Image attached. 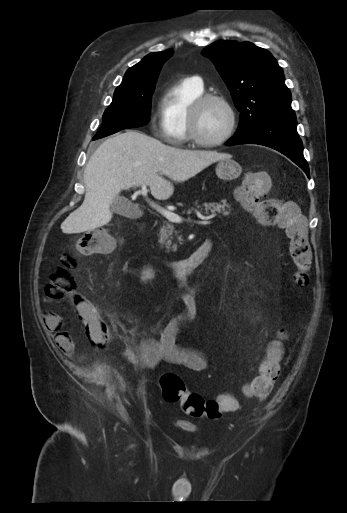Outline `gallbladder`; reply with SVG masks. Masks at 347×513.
Returning a JSON list of instances; mask_svg holds the SVG:
<instances>
[{"mask_svg": "<svg viewBox=\"0 0 347 513\" xmlns=\"http://www.w3.org/2000/svg\"><path fill=\"white\" fill-rule=\"evenodd\" d=\"M111 210L121 216L128 218H135L139 215V209L136 204H133L125 197H117L114 199Z\"/></svg>", "mask_w": 347, "mask_h": 513, "instance_id": "1", "label": "gallbladder"}]
</instances>
